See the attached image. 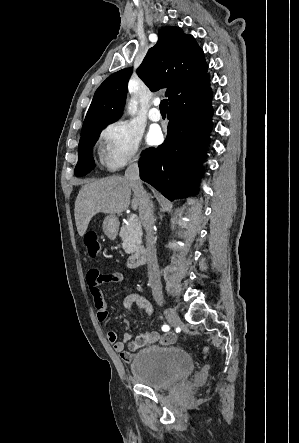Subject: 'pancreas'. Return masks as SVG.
<instances>
[{"label":"pancreas","instance_id":"obj_1","mask_svg":"<svg viewBox=\"0 0 299 443\" xmlns=\"http://www.w3.org/2000/svg\"><path fill=\"white\" fill-rule=\"evenodd\" d=\"M120 237L122 238V246L126 253H133L140 246L142 239V228L139 220L128 222L121 227Z\"/></svg>","mask_w":299,"mask_h":443}]
</instances>
